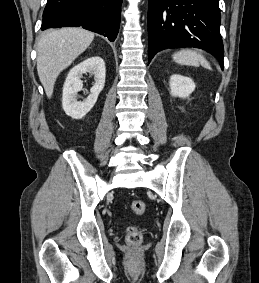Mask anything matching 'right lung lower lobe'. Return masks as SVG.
<instances>
[{
    "label": "right lung lower lobe",
    "instance_id": "right-lung-lower-lobe-1",
    "mask_svg": "<svg viewBox=\"0 0 259 283\" xmlns=\"http://www.w3.org/2000/svg\"><path fill=\"white\" fill-rule=\"evenodd\" d=\"M122 0H48L41 29L83 27L107 36L117 37Z\"/></svg>",
    "mask_w": 259,
    "mask_h": 283
}]
</instances>
